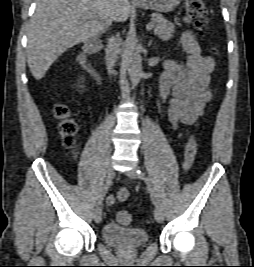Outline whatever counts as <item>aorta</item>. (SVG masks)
I'll use <instances>...</instances> for the list:
<instances>
[{
	"label": "aorta",
	"mask_w": 254,
	"mask_h": 267,
	"mask_svg": "<svg viewBox=\"0 0 254 267\" xmlns=\"http://www.w3.org/2000/svg\"><path fill=\"white\" fill-rule=\"evenodd\" d=\"M128 73L132 85L136 86L142 77V58L137 47L135 36L129 38V48L127 51Z\"/></svg>",
	"instance_id": "obj_1"
}]
</instances>
